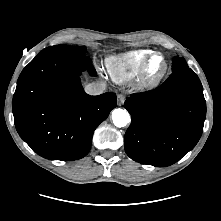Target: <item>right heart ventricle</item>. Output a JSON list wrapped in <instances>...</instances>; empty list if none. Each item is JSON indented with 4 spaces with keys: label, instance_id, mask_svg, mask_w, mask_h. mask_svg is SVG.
Segmentation results:
<instances>
[{
    "label": "right heart ventricle",
    "instance_id": "e07e8e85",
    "mask_svg": "<svg viewBox=\"0 0 221 221\" xmlns=\"http://www.w3.org/2000/svg\"><path fill=\"white\" fill-rule=\"evenodd\" d=\"M150 49H134L113 54L106 58L105 65L112 79L117 83H126L139 75Z\"/></svg>",
    "mask_w": 221,
    "mask_h": 221
}]
</instances>
